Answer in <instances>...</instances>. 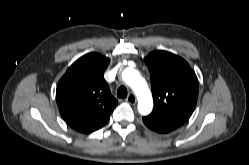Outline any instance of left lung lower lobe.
<instances>
[{
  "label": "left lung lower lobe",
  "instance_id": "0a47b994",
  "mask_svg": "<svg viewBox=\"0 0 249 165\" xmlns=\"http://www.w3.org/2000/svg\"><path fill=\"white\" fill-rule=\"evenodd\" d=\"M144 124L151 130L158 133H169L179 127V125L154 119L151 117H143Z\"/></svg>",
  "mask_w": 249,
  "mask_h": 165
}]
</instances>
